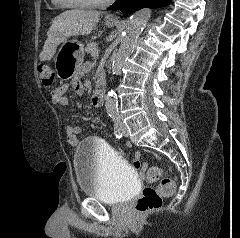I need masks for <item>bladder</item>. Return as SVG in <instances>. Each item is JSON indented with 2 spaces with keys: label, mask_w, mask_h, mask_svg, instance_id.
I'll return each mask as SVG.
<instances>
[{
  "label": "bladder",
  "mask_w": 240,
  "mask_h": 238,
  "mask_svg": "<svg viewBox=\"0 0 240 238\" xmlns=\"http://www.w3.org/2000/svg\"><path fill=\"white\" fill-rule=\"evenodd\" d=\"M73 164L78 187L88 197L116 205L128 201L137 190L134 169L99 139L83 140L74 152Z\"/></svg>",
  "instance_id": "obj_1"
}]
</instances>
